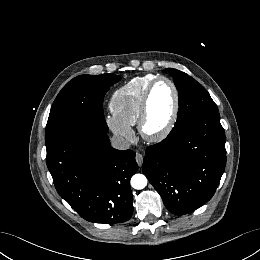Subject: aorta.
Segmentation results:
<instances>
[{
	"mask_svg": "<svg viewBox=\"0 0 260 260\" xmlns=\"http://www.w3.org/2000/svg\"><path fill=\"white\" fill-rule=\"evenodd\" d=\"M147 185V178L143 174H135L131 178V186L134 189L140 190L145 188Z\"/></svg>",
	"mask_w": 260,
	"mask_h": 260,
	"instance_id": "762f6f07",
	"label": "aorta"
}]
</instances>
